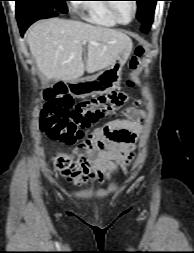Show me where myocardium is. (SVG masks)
Returning a JSON list of instances; mask_svg holds the SVG:
<instances>
[{
    "mask_svg": "<svg viewBox=\"0 0 194 253\" xmlns=\"http://www.w3.org/2000/svg\"><path fill=\"white\" fill-rule=\"evenodd\" d=\"M109 2H107V6H108V9L110 11V13L112 14V16L115 18V20L120 23V24H128L130 23L131 21H133V19L135 18L136 14H137V11H138V3L137 1L133 0V3H134V12L132 14V17L130 18V20L128 21H123L118 13H117V10L115 8V5H114V2H112L113 0H108Z\"/></svg>",
    "mask_w": 194,
    "mask_h": 253,
    "instance_id": "f54148a6",
    "label": "myocardium"
}]
</instances>
